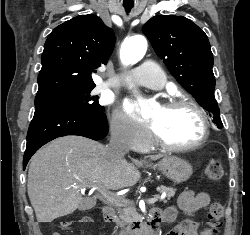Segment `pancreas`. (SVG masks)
<instances>
[{
	"mask_svg": "<svg viewBox=\"0 0 250 235\" xmlns=\"http://www.w3.org/2000/svg\"><path fill=\"white\" fill-rule=\"evenodd\" d=\"M157 190L161 193H166V199H163L164 202L170 200L175 195L176 191V189L166 186H161ZM113 204L117 207L122 222L131 223L141 219L140 215L136 211L134 203L126 201L122 198H116Z\"/></svg>",
	"mask_w": 250,
	"mask_h": 235,
	"instance_id": "cf45deb5",
	"label": "pancreas"
}]
</instances>
